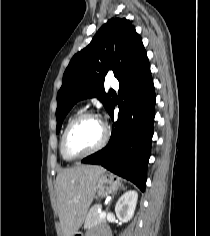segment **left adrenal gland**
Returning <instances> with one entry per match:
<instances>
[{"label": "left adrenal gland", "mask_w": 210, "mask_h": 236, "mask_svg": "<svg viewBox=\"0 0 210 236\" xmlns=\"http://www.w3.org/2000/svg\"><path fill=\"white\" fill-rule=\"evenodd\" d=\"M125 189H126V188H125L124 186H122V190H125ZM108 207H109V206H108ZM108 207H107V208H108Z\"/></svg>", "instance_id": "a2214340"}]
</instances>
